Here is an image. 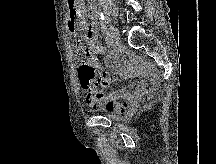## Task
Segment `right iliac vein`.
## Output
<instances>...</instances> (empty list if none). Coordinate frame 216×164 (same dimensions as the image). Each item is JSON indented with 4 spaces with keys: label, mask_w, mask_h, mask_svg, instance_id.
I'll use <instances>...</instances> for the list:
<instances>
[{
    "label": "right iliac vein",
    "mask_w": 216,
    "mask_h": 164,
    "mask_svg": "<svg viewBox=\"0 0 216 164\" xmlns=\"http://www.w3.org/2000/svg\"><path fill=\"white\" fill-rule=\"evenodd\" d=\"M109 30H110V38L112 39L113 43L119 44L120 38H119V34H118L117 30L112 26L109 27Z\"/></svg>",
    "instance_id": "63e3f726"
}]
</instances>
